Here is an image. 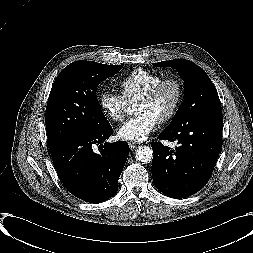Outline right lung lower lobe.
<instances>
[{"label": "right lung lower lobe", "mask_w": 253, "mask_h": 253, "mask_svg": "<svg viewBox=\"0 0 253 253\" xmlns=\"http://www.w3.org/2000/svg\"><path fill=\"white\" fill-rule=\"evenodd\" d=\"M112 132L110 124L98 130H80L50 149L60 180L77 198L100 203L117 192L129 146L126 141L102 144ZM95 144H100V153L93 151Z\"/></svg>", "instance_id": "obj_1"}]
</instances>
